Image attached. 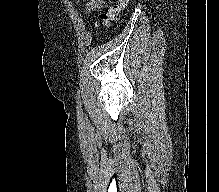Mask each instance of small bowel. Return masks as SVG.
Masks as SVG:
<instances>
[{"label":"small bowel","instance_id":"obj_1","mask_svg":"<svg viewBox=\"0 0 219 192\" xmlns=\"http://www.w3.org/2000/svg\"><path fill=\"white\" fill-rule=\"evenodd\" d=\"M104 5L105 0H89L86 4L85 10L86 12L90 13L104 7Z\"/></svg>","mask_w":219,"mask_h":192}]
</instances>
